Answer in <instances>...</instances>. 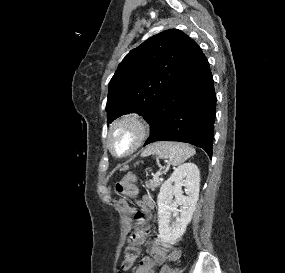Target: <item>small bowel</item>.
Segmentation results:
<instances>
[{
  "mask_svg": "<svg viewBox=\"0 0 285 273\" xmlns=\"http://www.w3.org/2000/svg\"><path fill=\"white\" fill-rule=\"evenodd\" d=\"M141 201L147 203L149 212L154 209L155 203L152 197L145 195L141 198ZM150 254V256H145L141 259L134 273H154L156 265L164 263L168 258L174 259L177 257L178 252L176 250L168 251L167 247L158 242H153L150 245Z\"/></svg>",
  "mask_w": 285,
  "mask_h": 273,
  "instance_id": "small-bowel-1",
  "label": "small bowel"
}]
</instances>
